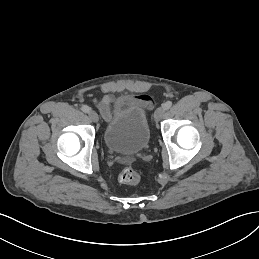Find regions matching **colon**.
I'll return each instance as SVG.
<instances>
[{"label":"colon","mask_w":259,"mask_h":259,"mask_svg":"<svg viewBox=\"0 0 259 259\" xmlns=\"http://www.w3.org/2000/svg\"><path fill=\"white\" fill-rule=\"evenodd\" d=\"M140 178V174L132 168H125L119 174L120 182L125 184H137Z\"/></svg>","instance_id":"obj_1"}]
</instances>
